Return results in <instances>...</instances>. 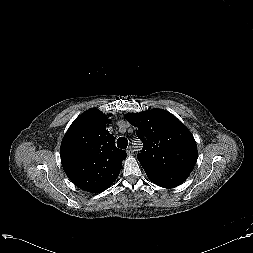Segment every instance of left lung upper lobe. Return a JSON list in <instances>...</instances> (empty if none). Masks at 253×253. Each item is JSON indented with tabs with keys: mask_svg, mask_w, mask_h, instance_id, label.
Returning a JSON list of instances; mask_svg holds the SVG:
<instances>
[{
	"mask_svg": "<svg viewBox=\"0 0 253 253\" xmlns=\"http://www.w3.org/2000/svg\"><path fill=\"white\" fill-rule=\"evenodd\" d=\"M137 127L143 143L137 158L142 167L191 173L197 161V145L188 128L165 110L125 114Z\"/></svg>",
	"mask_w": 253,
	"mask_h": 253,
	"instance_id": "1",
	"label": "left lung upper lobe"
}]
</instances>
